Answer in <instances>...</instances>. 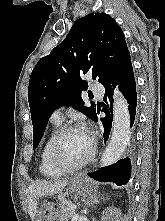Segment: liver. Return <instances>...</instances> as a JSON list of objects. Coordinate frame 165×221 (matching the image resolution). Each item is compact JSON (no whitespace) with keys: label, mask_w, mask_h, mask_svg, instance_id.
Segmentation results:
<instances>
[{"label":"liver","mask_w":165,"mask_h":221,"mask_svg":"<svg viewBox=\"0 0 165 221\" xmlns=\"http://www.w3.org/2000/svg\"><path fill=\"white\" fill-rule=\"evenodd\" d=\"M68 180H60L55 182L39 181L30 185L26 190V203L28 212L33 220L37 214V206L39 198L42 196L52 195L61 192L67 185Z\"/></svg>","instance_id":"obj_1"}]
</instances>
